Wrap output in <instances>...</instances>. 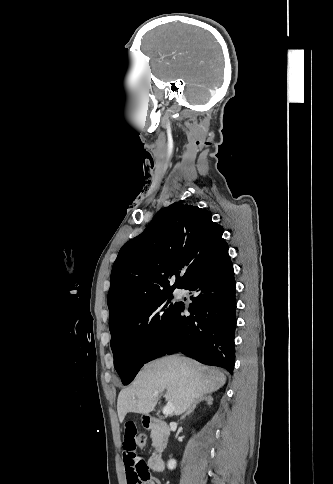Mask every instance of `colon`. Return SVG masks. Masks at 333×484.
I'll use <instances>...</instances> for the list:
<instances>
[{
	"mask_svg": "<svg viewBox=\"0 0 333 484\" xmlns=\"http://www.w3.org/2000/svg\"><path fill=\"white\" fill-rule=\"evenodd\" d=\"M135 442L138 447H143L146 444V436L143 433L138 434Z\"/></svg>",
	"mask_w": 333,
	"mask_h": 484,
	"instance_id": "1",
	"label": "colon"
}]
</instances>
